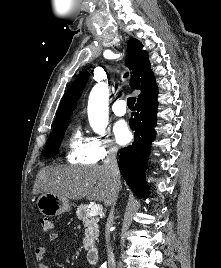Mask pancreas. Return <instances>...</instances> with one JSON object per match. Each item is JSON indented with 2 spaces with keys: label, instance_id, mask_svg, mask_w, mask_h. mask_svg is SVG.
Masks as SVG:
<instances>
[{
  "label": "pancreas",
  "instance_id": "pancreas-1",
  "mask_svg": "<svg viewBox=\"0 0 221 268\" xmlns=\"http://www.w3.org/2000/svg\"><path fill=\"white\" fill-rule=\"evenodd\" d=\"M90 209L87 204H81L78 206L76 214L78 219L83 221L85 230V237L83 239V246L85 250H89L94 247L95 241L99 237V218L96 216H88Z\"/></svg>",
  "mask_w": 221,
  "mask_h": 268
}]
</instances>
